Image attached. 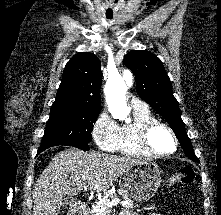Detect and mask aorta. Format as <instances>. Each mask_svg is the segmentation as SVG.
Here are the masks:
<instances>
[{
  "instance_id": "762f6f07",
  "label": "aorta",
  "mask_w": 221,
  "mask_h": 215,
  "mask_svg": "<svg viewBox=\"0 0 221 215\" xmlns=\"http://www.w3.org/2000/svg\"><path fill=\"white\" fill-rule=\"evenodd\" d=\"M132 85V79L124 81L120 74L110 75L106 82L104 93L108 109L115 119L129 122L130 108L126 102V92L128 86Z\"/></svg>"
}]
</instances>
